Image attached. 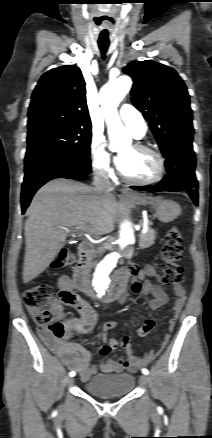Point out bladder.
I'll list each match as a JSON object with an SVG mask.
<instances>
[{"mask_svg": "<svg viewBox=\"0 0 212 438\" xmlns=\"http://www.w3.org/2000/svg\"><path fill=\"white\" fill-rule=\"evenodd\" d=\"M135 377L129 373L98 374L84 384V389L98 397L109 398L125 396L131 393Z\"/></svg>", "mask_w": 212, "mask_h": 438, "instance_id": "1", "label": "bladder"}]
</instances>
